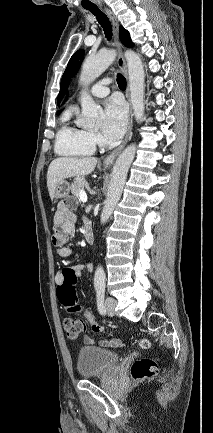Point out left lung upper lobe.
I'll use <instances>...</instances> for the list:
<instances>
[{
  "instance_id": "1",
  "label": "left lung upper lobe",
  "mask_w": 213,
  "mask_h": 433,
  "mask_svg": "<svg viewBox=\"0 0 213 433\" xmlns=\"http://www.w3.org/2000/svg\"><path fill=\"white\" fill-rule=\"evenodd\" d=\"M120 40L121 42L127 46L132 47L133 43L130 39V35L128 31H126L123 27H120ZM84 57V50H79L73 54L71 59L69 60V63L66 67V70L62 76L61 85H60V92L58 94L57 102L60 103L61 99L63 98L64 94L67 91L68 83L71 78V76L79 69L81 62Z\"/></svg>"
}]
</instances>
